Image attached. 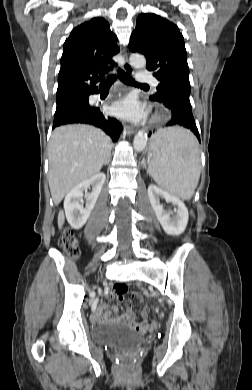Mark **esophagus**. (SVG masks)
<instances>
[{
  "label": "esophagus",
  "instance_id": "esophagus-1",
  "mask_svg": "<svg viewBox=\"0 0 252 390\" xmlns=\"http://www.w3.org/2000/svg\"><path fill=\"white\" fill-rule=\"evenodd\" d=\"M122 53H123V57H124L123 69H124L125 72L131 74V73H133V69H132L131 65L129 64V62H128L127 53H126L125 50H123ZM124 131L128 135H132V134H134L135 129L133 127H131V126L125 125L124 126Z\"/></svg>",
  "mask_w": 252,
  "mask_h": 390
}]
</instances>
